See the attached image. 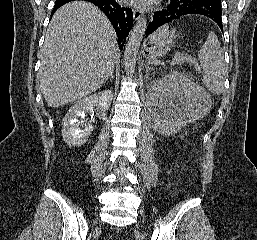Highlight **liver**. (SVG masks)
<instances>
[{"label":"liver","instance_id":"1","mask_svg":"<svg viewBox=\"0 0 257 240\" xmlns=\"http://www.w3.org/2000/svg\"><path fill=\"white\" fill-rule=\"evenodd\" d=\"M117 36L95 5L74 1L59 8L49 24L38 72L50 107H60L99 89L114 71Z\"/></svg>","mask_w":257,"mask_h":240}]
</instances>
